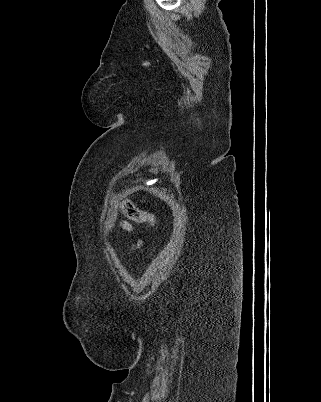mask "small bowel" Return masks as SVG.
Listing matches in <instances>:
<instances>
[{
	"label": "small bowel",
	"mask_w": 321,
	"mask_h": 402,
	"mask_svg": "<svg viewBox=\"0 0 321 402\" xmlns=\"http://www.w3.org/2000/svg\"><path fill=\"white\" fill-rule=\"evenodd\" d=\"M119 226H120V228H122L125 231H130L131 230V226L125 221H120ZM137 246L138 245H136L135 247H137Z\"/></svg>",
	"instance_id": "obj_1"
}]
</instances>
